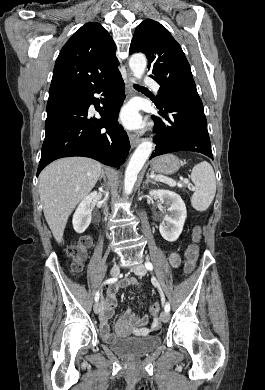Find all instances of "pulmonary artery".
I'll list each match as a JSON object with an SVG mask.
<instances>
[{
	"instance_id": "e3ab8cb5",
	"label": "pulmonary artery",
	"mask_w": 265,
	"mask_h": 390,
	"mask_svg": "<svg viewBox=\"0 0 265 390\" xmlns=\"http://www.w3.org/2000/svg\"><path fill=\"white\" fill-rule=\"evenodd\" d=\"M144 83L151 87L154 91H158L160 88L159 84L149 77L144 79Z\"/></svg>"
}]
</instances>
